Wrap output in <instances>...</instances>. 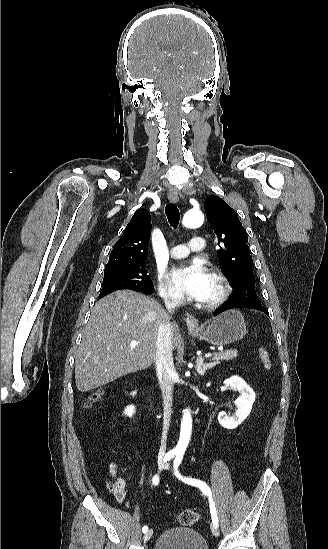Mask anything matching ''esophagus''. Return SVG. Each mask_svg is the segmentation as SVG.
Here are the masks:
<instances>
[{"label":"esophagus","mask_w":328,"mask_h":549,"mask_svg":"<svg viewBox=\"0 0 328 549\" xmlns=\"http://www.w3.org/2000/svg\"><path fill=\"white\" fill-rule=\"evenodd\" d=\"M178 199H179L178 192L176 190H171L168 193V200L173 204L178 202ZM184 320L188 330H196L198 328V320L196 319V317L192 315H186L184 317Z\"/></svg>","instance_id":"34e87169"}]
</instances>
